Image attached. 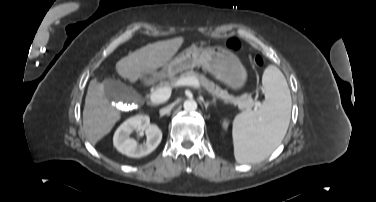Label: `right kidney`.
Here are the masks:
<instances>
[{"label": "right kidney", "mask_w": 376, "mask_h": 202, "mask_svg": "<svg viewBox=\"0 0 376 202\" xmlns=\"http://www.w3.org/2000/svg\"><path fill=\"white\" fill-rule=\"evenodd\" d=\"M144 131L147 140L143 145L130 137L131 133ZM162 140V132L155 124H150L147 115H137L127 119L116 130L113 137V144L116 149L129 157L140 158L150 154L157 148Z\"/></svg>", "instance_id": "right-kidney-1"}]
</instances>
